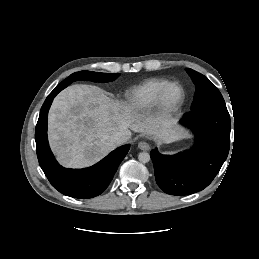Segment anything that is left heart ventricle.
Masks as SVG:
<instances>
[{"instance_id": "1", "label": "left heart ventricle", "mask_w": 259, "mask_h": 259, "mask_svg": "<svg viewBox=\"0 0 259 259\" xmlns=\"http://www.w3.org/2000/svg\"><path fill=\"white\" fill-rule=\"evenodd\" d=\"M178 94V90L175 87L170 88L168 91L167 97L169 100H173Z\"/></svg>"}]
</instances>
